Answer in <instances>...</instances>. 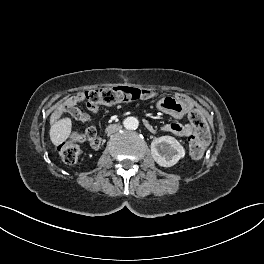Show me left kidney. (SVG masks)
I'll return each instance as SVG.
<instances>
[{
	"mask_svg": "<svg viewBox=\"0 0 264 264\" xmlns=\"http://www.w3.org/2000/svg\"><path fill=\"white\" fill-rule=\"evenodd\" d=\"M151 155L160 166L171 167L185 157V149L174 137L161 136L152 141Z\"/></svg>",
	"mask_w": 264,
	"mask_h": 264,
	"instance_id": "5707ae66",
	"label": "left kidney"
}]
</instances>
